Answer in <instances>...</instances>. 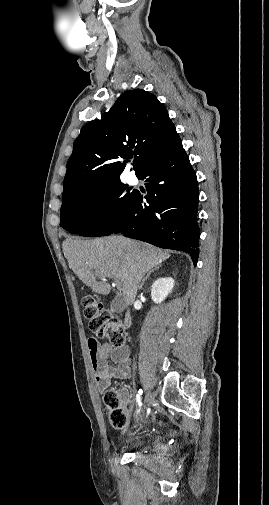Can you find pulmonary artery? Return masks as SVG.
Returning <instances> with one entry per match:
<instances>
[{
    "instance_id": "obj_1",
    "label": "pulmonary artery",
    "mask_w": 269,
    "mask_h": 505,
    "mask_svg": "<svg viewBox=\"0 0 269 505\" xmlns=\"http://www.w3.org/2000/svg\"><path fill=\"white\" fill-rule=\"evenodd\" d=\"M127 180L129 183L134 184L136 182V177L133 173H129L127 176Z\"/></svg>"
}]
</instances>
